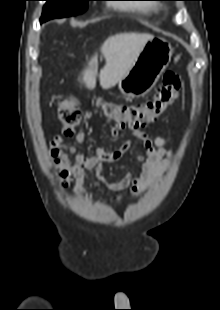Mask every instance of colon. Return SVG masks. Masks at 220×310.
Listing matches in <instances>:
<instances>
[{"label": "colon", "instance_id": "obj_1", "mask_svg": "<svg viewBox=\"0 0 220 310\" xmlns=\"http://www.w3.org/2000/svg\"><path fill=\"white\" fill-rule=\"evenodd\" d=\"M181 87V78L174 71H167L155 96L137 105H123L102 102L104 114L110 118L115 128H129L138 131L153 123L175 101ZM76 97H68L59 103V118L64 132L74 134L83 123L84 117L78 109Z\"/></svg>", "mask_w": 220, "mask_h": 310}]
</instances>
